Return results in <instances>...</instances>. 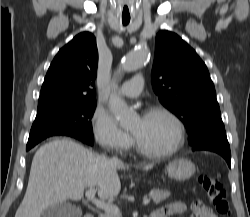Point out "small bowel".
I'll use <instances>...</instances> for the list:
<instances>
[{"instance_id": "small-bowel-1", "label": "small bowel", "mask_w": 250, "mask_h": 217, "mask_svg": "<svg viewBox=\"0 0 250 217\" xmlns=\"http://www.w3.org/2000/svg\"><path fill=\"white\" fill-rule=\"evenodd\" d=\"M192 217H217L202 201H195L191 205ZM159 217L180 215L187 211V206L182 201H175L157 210Z\"/></svg>"}]
</instances>
